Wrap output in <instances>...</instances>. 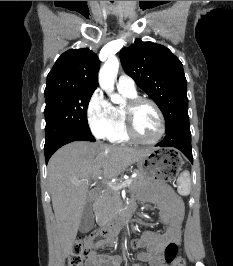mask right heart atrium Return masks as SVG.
<instances>
[{
	"mask_svg": "<svg viewBox=\"0 0 233 266\" xmlns=\"http://www.w3.org/2000/svg\"><path fill=\"white\" fill-rule=\"evenodd\" d=\"M86 117L91 132L97 138H109L116 130L112 105L100 89L95 90L91 95Z\"/></svg>",
	"mask_w": 233,
	"mask_h": 266,
	"instance_id": "obj_1",
	"label": "right heart atrium"
}]
</instances>
